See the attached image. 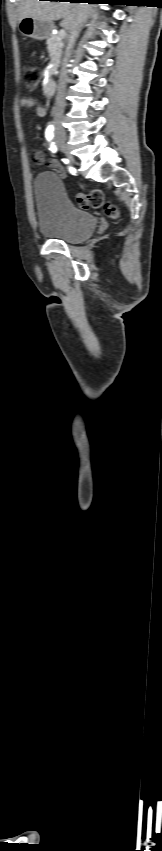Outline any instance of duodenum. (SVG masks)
Segmentation results:
<instances>
[{
    "label": "duodenum",
    "mask_w": 162,
    "mask_h": 851,
    "mask_svg": "<svg viewBox=\"0 0 162 851\" xmlns=\"http://www.w3.org/2000/svg\"><path fill=\"white\" fill-rule=\"evenodd\" d=\"M56 82L52 78H48L43 84V92L46 96H52L55 93Z\"/></svg>",
    "instance_id": "1"
}]
</instances>
